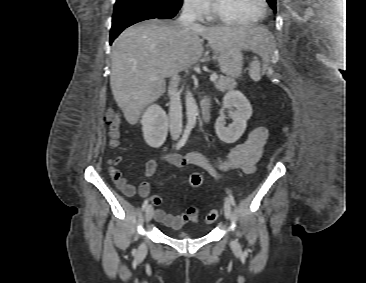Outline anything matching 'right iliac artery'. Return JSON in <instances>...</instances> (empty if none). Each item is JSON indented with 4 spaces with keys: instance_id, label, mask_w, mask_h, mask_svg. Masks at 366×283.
Listing matches in <instances>:
<instances>
[{
    "instance_id": "1",
    "label": "right iliac artery",
    "mask_w": 366,
    "mask_h": 283,
    "mask_svg": "<svg viewBox=\"0 0 366 283\" xmlns=\"http://www.w3.org/2000/svg\"><path fill=\"white\" fill-rule=\"evenodd\" d=\"M192 130V127L191 126H187L181 139L179 140V142L177 143L176 145V150L180 149L182 146L185 145L188 137H189V134ZM148 206V199H146L144 202H143V205H142V210H145L146 207Z\"/></svg>"
}]
</instances>
